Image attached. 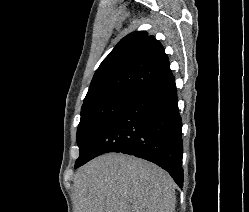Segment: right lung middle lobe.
I'll list each match as a JSON object with an SVG mask.
<instances>
[{"label": "right lung middle lobe", "instance_id": "1", "mask_svg": "<svg viewBox=\"0 0 249 212\" xmlns=\"http://www.w3.org/2000/svg\"><path fill=\"white\" fill-rule=\"evenodd\" d=\"M137 96L139 94L135 92L117 91L84 101L77 130L80 156L76 160L75 168L83 164L104 130Z\"/></svg>", "mask_w": 249, "mask_h": 212}]
</instances>
